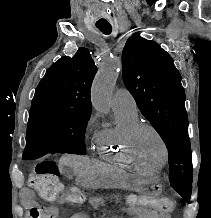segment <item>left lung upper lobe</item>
I'll list each match as a JSON object with an SVG mask.
<instances>
[{
	"label": "left lung upper lobe",
	"mask_w": 211,
	"mask_h": 218,
	"mask_svg": "<svg viewBox=\"0 0 211 218\" xmlns=\"http://www.w3.org/2000/svg\"><path fill=\"white\" fill-rule=\"evenodd\" d=\"M123 80L138 108L168 149L169 181L186 200L192 192L188 116L181 76L156 42L132 35L122 53Z\"/></svg>",
	"instance_id": "5c2ea615"
}]
</instances>
